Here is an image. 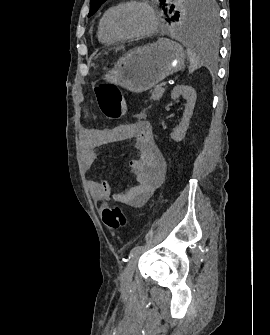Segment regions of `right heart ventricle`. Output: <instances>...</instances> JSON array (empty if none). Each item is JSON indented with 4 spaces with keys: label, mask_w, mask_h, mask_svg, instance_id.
I'll use <instances>...</instances> for the list:
<instances>
[{
    "label": "right heart ventricle",
    "mask_w": 270,
    "mask_h": 335,
    "mask_svg": "<svg viewBox=\"0 0 270 335\" xmlns=\"http://www.w3.org/2000/svg\"><path fill=\"white\" fill-rule=\"evenodd\" d=\"M115 6H116L115 3L108 6L102 13L99 23H98L97 37L101 43L106 44V45L119 41L118 38L114 37L113 35L109 33L107 26H106L108 14Z\"/></svg>",
    "instance_id": "1"
}]
</instances>
